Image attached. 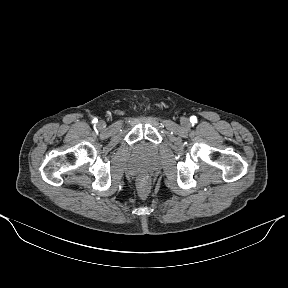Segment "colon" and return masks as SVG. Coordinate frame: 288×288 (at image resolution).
I'll use <instances>...</instances> for the list:
<instances>
[{
	"instance_id": "5ec220e1",
	"label": "colon",
	"mask_w": 288,
	"mask_h": 288,
	"mask_svg": "<svg viewBox=\"0 0 288 288\" xmlns=\"http://www.w3.org/2000/svg\"><path fill=\"white\" fill-rule=\"evenodd\" d=\"M140 187H141V189L144 191V190L146 189V187H147L146 182H145V181H142V182L140 183Z\"/></svg>"
}]
</instances>
